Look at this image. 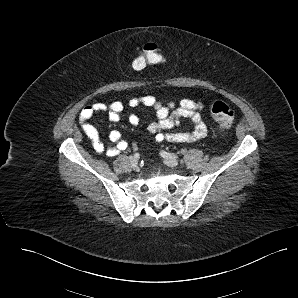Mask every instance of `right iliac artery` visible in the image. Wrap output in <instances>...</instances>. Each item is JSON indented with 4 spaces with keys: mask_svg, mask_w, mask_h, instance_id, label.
<instances>
[{
    "mask_svg": "<svg viewBox=\"0 0 298 298\" xmlns=\"http://www.w3.org/2000/svg\"><path fill=\"white\" fill-rule=\"evenodd\" d=\"M134 157H136V158H139V154H138V153H136V154L134 155Z\"/></svg>",
    "mask_w": 298,
    "mask_h": 298,
    "instance_id": "82829eb1",
    "label": "right iliac artery"
}]
</instances>
